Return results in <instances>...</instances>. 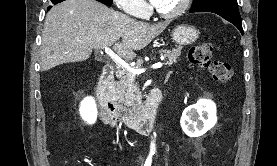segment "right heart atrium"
<instances>
[{
	"instance_id": "right-heart-atrium-1",
	"label": "right heart atrium",
	"mask_w": 277,
	"mask_h": 166,
	"mask_svg": "<svg viewBox=\"0 0 277 166\" xmlns=\"http://www.w3.org/2000/svg\"><path fill=\"white\" fill-rule=\"evenodd\" d=\"M116 6L123 12L133 16H143L148 11L144 0H113Z\"/></svg>"
}]
</instances>
